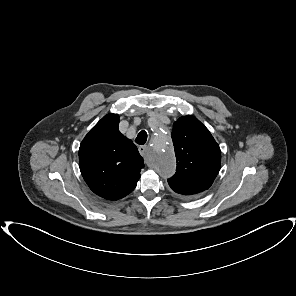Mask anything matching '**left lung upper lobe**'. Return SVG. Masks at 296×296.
Here are the masks:
<instances>
[{
  "mask_svg": "<svg viewBox=\"0 0 296 296\" xmlns=\"http://www.w3.org/2000/svg\"><path fill=\"white\" fill-rule=\"evenodd\" d=\"M177 168L171 189L194 198L207 190L220 170L221 151L209 130L194 116L180 117L171 134Z\"/></svg>",
  "mask_w": 296,
  "mask_h": 296,
  "instance_id": "5c2ea615",
  "label": "left lung upper lobe"
}]
</instances>
